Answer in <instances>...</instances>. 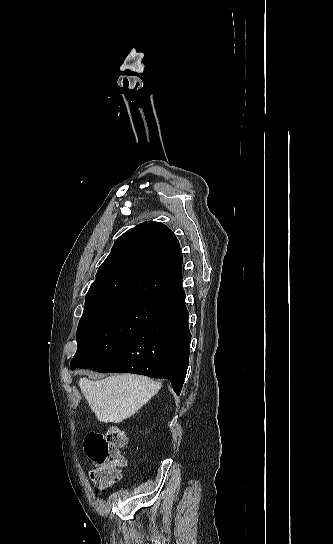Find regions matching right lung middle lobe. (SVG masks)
Instances as JSON below:
<instances>
[{
  "label": "right lung middle lobe",
  "instance_id": "obj_1",
  "mask_svg": "<svg viewBox=\"0 0 333 544\" xmlns=\"http://www.w3.org/2000/svg\"><path fill=\"white\" fill-rule=\"evenodd\" d=\"M168 305L165 300L145 296L85 302L76 335L78 347L71 367L106 353L131 338Z\"/></svg>",
  "mask_w": 333,
  "mask_h": 544
}]
</instances>
